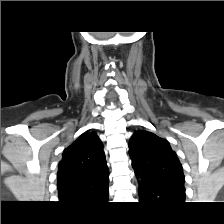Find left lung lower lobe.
Returning <instances> with one entry per match:
<instances>
[{
	"mask_svg": "<svg viewBox=\"0 0 224 224\" xmlns=\"http://www.w3.org/2000/svg\"><path fill=\"white\" fill-rule=\"evenodd\" d=\"M139 196L142 203L182 204L185 188L179 184L150 182L143 178Z\"/></svg>",
	"mask_w": 224,
	"mask_h": 224,
	"instance_id": "left-lung-lower-lobe-1",
	"label": "left lung lower lobe"
}]
</instances>
